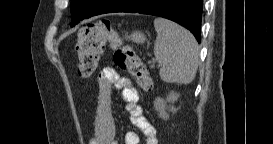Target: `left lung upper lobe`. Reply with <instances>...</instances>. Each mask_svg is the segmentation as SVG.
<instances>
[{
  "mask_svg": "<svg viewBox=\"0 0 273 144\" xmlns=\"http://www.w3.org/2000/svg\"><path fill=\"white\" fill-rule=\"evenodd\" d=\"M86 0H71V13L72 15L83 12L89 8H91L96 0H89L88 3L85 4Z\"/></svg>",
  "mask_w": 273,
  "mask_h": 144,
  "instance_id": "obj_1",
  "label": "left lung upper lobe"
}]
</instances>
